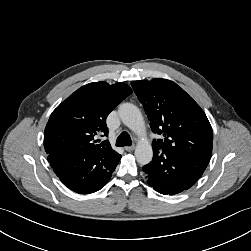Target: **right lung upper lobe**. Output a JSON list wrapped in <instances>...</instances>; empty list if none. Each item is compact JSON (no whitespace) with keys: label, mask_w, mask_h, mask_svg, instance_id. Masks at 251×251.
Wrapping results in <instances>:
<instances>
[{"label":"right lung upper lobe","mask_w":251,"mask_h":251,"mask_svg":"<svg viewBox=\"0 0 251 251\" xmlns=\"http://www.w3.org/2000/svg\"><path fill=\"white\" fill-rule=\"evenodd\" d=\"M131 93V88L122 82L109 85L100 81L79 88L51 114L44 131L46 153L70 148L99 155L107 167L112 166L120 154L108 141L95 144L94 136H107L108 114Z\"/></svg>","instance_id":"obj_1"}]
</instances>
